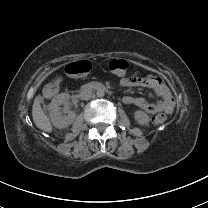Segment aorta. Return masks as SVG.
<instances>
[{
    "mask_svg": "<svg viewBox=\"0 0 208 208\" xmlns=\"http://www.w3.org/2000/svg\"><path fill=\"white\" fill-rule=\"evenodd\" d=\"M96 95L97 97H103L105 95V92L104 90L100 89V90H97Z\"/></svg>",
    "mask_w": 208,
    "mask_h": 208,
    "instance_id": "obj_1",
    "label": "aorta"
}]
</instances>
